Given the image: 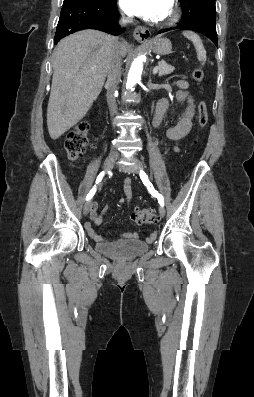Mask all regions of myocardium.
<instances>
[{"instance_id": "obj_1", "label": "myocardium", "mask_w": 254, "mask_h": 397, "mask_svg": "<svg viewBox=\"0 0 254 397\" xmlns=\"http://www.w3.org/2000/svg\"><path fill=\"white\" fill-rule=\"evenodd\" d=\"M180 17V11L175 3H172L170 13L167 17L163 18L159 24L162 26H170L178 21Z\"/></svg>"}]
</instances>
